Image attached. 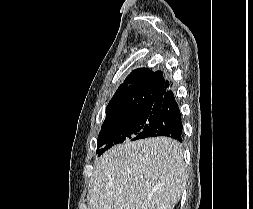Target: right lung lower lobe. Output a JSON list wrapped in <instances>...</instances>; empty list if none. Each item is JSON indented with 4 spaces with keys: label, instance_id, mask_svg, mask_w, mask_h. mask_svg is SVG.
<instances>
[{
    "label": "right lung lower lobe",
    "instance_id": "obj_1",
    "mask_svg": "<svg viewBox=\"0 0 253 209\" xmlns=\"http://www.w3.org/2000/svg\"><path fill=\"white\" fill-rule=\"evenodd\" d=\"M152 108L159 112L158 118L149 129L140 133L141 139L167 136L182 142V118L173 92L169 89Z\"/></svg>",
    "mask_w": 253,
    "mask_h": 209
}]
</instances>
